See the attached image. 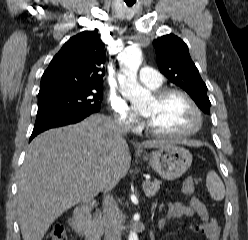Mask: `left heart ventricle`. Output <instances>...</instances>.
Here are the masks:
<instances>
[{
  "label": "left heart ventricle",
  "instance_id": "obj_1",
  "mask_svg": "<svg viewBox=\"0 0 248 240\" xmlns=\"http://www.w3.org/2000/svg\"><path fill=\"white\" fill-rule=\"evenodd\" d=\"M143 115L153 128L167 132L187 131L197 122L191 106L180 95H171L162 101L153 97Z\"/></svg>",
  "mask_w": 248,
  "mask_h": 240
}]
</instances>
